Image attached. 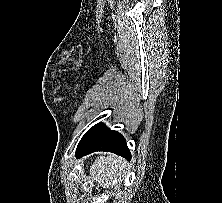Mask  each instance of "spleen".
Returning a JSON list of instances; mask_svg holds the SVG:
<instances>
[{
  "instance_id": "obj_1",
  "label": "spleen",
  "mask_w": 222,
  "mask_h": 203,
  "mask_svg": "<svg viewBox=\"0 0 222 203\" xmlns=\"http://www.w3.org/2000/svg\"><path fill=\"white\" fill-rule=\"evenodd\" d=\"M90 173L104 187L118 189L127 178L129 169L126 160L114 154H102L91 166Z\"/></svg>"
}]
</instances>
